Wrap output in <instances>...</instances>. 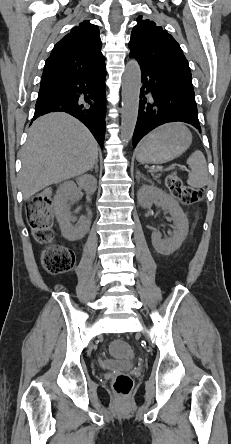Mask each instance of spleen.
Segmentation results:
<instances>
[{
    "instance_id": "obj_1",
    "label": "spleen",
    "mask_w": 231,
    "mask_h": 444,
    "mask_svg": "<svg viewBox=\"0 0 231 444\" xmlns=\"http://www.w3.org/2000/svg\"><path fill=\"white\" fill-rule=\"evenodd\" d=\"M191 171L188 174L187 184L194 188L204 187L208 182L207 163L203 153L193 152L187 159Z\"/></svg>"
}]
</instances>
